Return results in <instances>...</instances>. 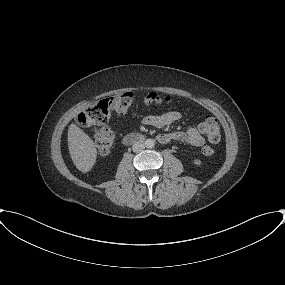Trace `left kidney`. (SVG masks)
I'll return each instance as SVG.
<instances>
[{"instance_id": "5707ae66", "label": "left kidney", "mask_w": 285, "mask_h": 285, "mask_svg": "<svg viewBox=\"0 0 285 285\" xmlns=\"http://www.w3.org/2000/svg\"><path fill=\"white\" fill-rule=\"evenodd\" d=\"M193 163H194L195 165H197V166H200V165H201V161H200L199 159H195V160L193 161Z\"/></svg>"}]
</instances>
